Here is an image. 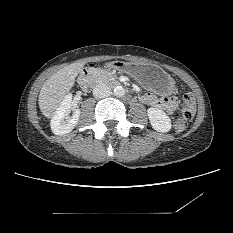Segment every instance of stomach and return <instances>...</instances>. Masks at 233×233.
I'll list each match as a JSON object with an SVG mask.
<instances>
[{
	"mask_svg": "<svg viewBox=\"0 0 233 233\" xmlns=\"http://www.w3.org/2000/svg\"><path fill=\"white\" fill-rule=\"evenodd\" d=\"M111 66L136 79L143 87L167 96L174 92L175 82L172 77L158 65L151 63H137L114 61Z\"/></svg>",
	"mask_w": 233,
	"mask_h": 233,
	"instance_id": "stomach-1",
	"label": "stomach"
}]
</instances>
